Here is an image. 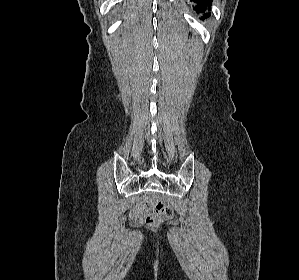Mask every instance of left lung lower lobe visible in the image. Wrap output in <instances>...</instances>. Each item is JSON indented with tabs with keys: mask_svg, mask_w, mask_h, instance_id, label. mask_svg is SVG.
<instances>
[{
	"mask_svg": "<svg viewBox=\"0 0 299 280\" xmlns=\"http://www.w3.org/2000/svg\"><path fill=\"white\" fill-rule=\"evenodd\" d=\"M194 3H196V6L194 7V10H196L197 13H204L202 16V19L210 16V13H206V10L210 11V5L212 4V0H191Z\"/></svg>",
	"mask_w": 299,
	"mask_h": 280,
	"instance_id": "0a47b994",
	"label": "left lung lower lobe"
}]
</instances>
